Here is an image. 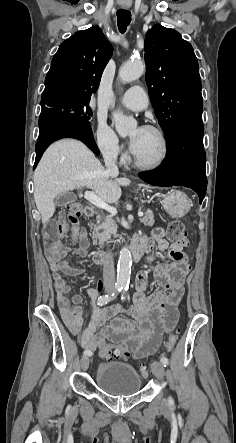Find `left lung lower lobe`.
I'll return each mask as SVG.
<instances>
[{"instance_id": "obj_1", "label": "left lung lower lobe", "mask_w": 236, "mask_h": 443, "mask_svg": "<svg viewBox=\"0 0 236 443\" xmlns=\"http://www.w3.org/2000/svg\"><path fill=\"white\" fill-rule=\"evenodd\" d=\"M203 122L190 119L178 124L167 137L168 152L163 165L156 170L139 173L145 182L155 186H185L204 199L207 178L203 149Z\"/></svg>"}]
</instances>
